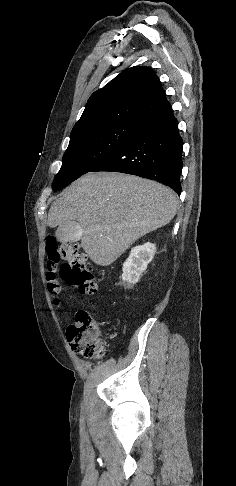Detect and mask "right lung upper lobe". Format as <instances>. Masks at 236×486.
<instances>
[{"label":"right lung upper lobe","instance_id":"cb5924a9","mask_svg":"<svg viewBox=\"0 0 236 486\" xmlns=\"http://www.w3.org/2000/svg\"><path fill=\"white\" fill-rule=\"evenodd\" d=\"M169 107L155 72L146 66H135L90 96L71 136L114 124L139 123L146 116Z\"/></svg>","mask_w":236,"mask_h":486}]
</instances>
